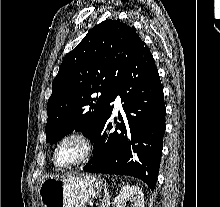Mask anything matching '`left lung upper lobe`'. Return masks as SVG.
Here are the masks:
<instances>
[{
    "mask_svg": "<svg viewBox=\"0 0 220 207\" xmlns=\"http://www.w3.org/2000/svg\"><path fill=\"white\" fill-rule=\"evenodd\" d=\"M141 43L135 28L105 20L65 56L48 100L47 143L54 144L73 130L93 137Z\"/></svg>",
    "mask_w": 220,
    "mask_h": 207,
    "instance_id": "left-lung-upper-lobe-1",
    "label": "left lung upper lobe"
}]
</instances>
